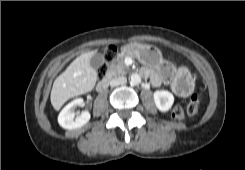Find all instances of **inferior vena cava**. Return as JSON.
Returning <instances> with one entry per match:
<instances>
[{
  "label": "inferior vena cava",
  "mask_w": 245,
  "mask_h": 170,
  "mask_svg": "<svg viewBox=\"0 0 245 170\" xmlns=\"http://www.w3.org/2000/svg\"><path fill=\"white\" fill-rule=\"evenodd\" d=\"M126 82H127L126 77L120 76V77L113 78V79L110 81V86H111V87H115V86H118V85H123V84H125Z\"/></svg>",
  "instance_id": "inferior-vena-cava-1"
}]
</instances>
